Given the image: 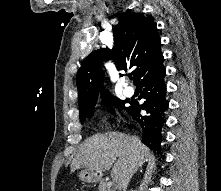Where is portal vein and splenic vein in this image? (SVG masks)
<instances>
[{
	"label": "portal vein and splenic vein",
	"instance_id": "portal-vein-and-splenic-vein-1",
	"mask_svg": "<svg viewBox=\"0 0 221 191\" xmlns=\"http://www.w3.org/2000/svg\"><path fill=\"white\" fill-rule=\"evenodd\" d=\"M108 184H109V185H112V184H113V182H109Z\"/></svg>",
	"mask_w": 221,
	"mask_h": 191
}]
</instances>
